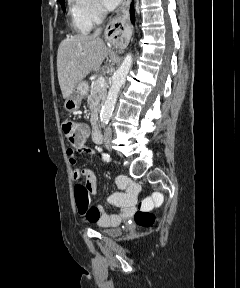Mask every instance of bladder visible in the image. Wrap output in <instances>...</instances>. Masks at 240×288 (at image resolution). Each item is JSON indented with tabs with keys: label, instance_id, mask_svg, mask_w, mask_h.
Returning <instances> with one entry per match:
<instances>
[{
	"label": "bladder",
	"instance_id": "1",
	"mask_svg": "<svg viewBox=\"0 0 240 288\" xmlns=\"http://www.w3.org/2000/svg\"><path fill=\"white\" fill-rule=\"evenodd\" d=\"M97 231H99L102 234L111 236V237H116L120 234V230L118 228H102L99 227L97 228Z\"/></svg>",
	"mask_w": 240,
	"mask_h": 288
}]
</instances>
